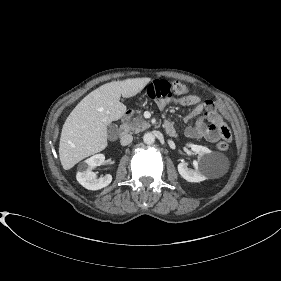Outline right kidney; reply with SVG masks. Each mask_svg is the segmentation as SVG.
Here are the masks:
<instances>
[{
	"mask_svg": "<svg viewBox=\"0 0 281 281\" xmlns=\"http://www.w3.org/2000/svg\"><path fill=\"white\" fill-rule=\"evenodd\" d=\"M104 161L105 156L103 154H96L86 159L78 167L77 181L88 190H99L108 186L112 181L110 174L98 178L96 173L92 172L93 168L103 165Z\"/></svg>",
	"mask_w": 281,
	"mask_h": 281,
	"instance_id": "ca27d5eb",
	"label": "right kidney"
}]
</instances>
